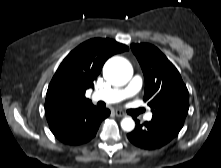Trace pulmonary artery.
Listing matches in <instances>:
<instances>
[{
    "label": "pulmonary artery",
    "mask_w": 221,
    "mask_h": 168,
    "mask_svg": "<svg viewBox=\"0 0 221 168\" xmlns=\"http://www.w3.org/2000/svg\"><path fill=\"white\" fill-rule=\"evenodd\" d=\"M142 86V78L139 75H135L130 83L125 88H111L106 90L96 91L93 94L94 100H101L106 103H118L125 98L134 96L140 90ZM146 120H151L152 115L146 114Z\"/></svg>",
    "instance_id": "obj_1"
}]
</instances>
